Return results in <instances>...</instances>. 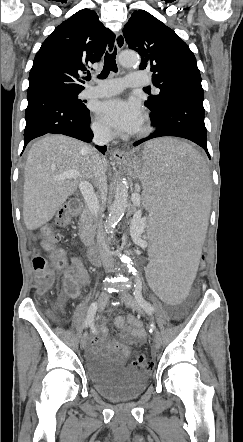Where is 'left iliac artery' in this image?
<instances>
[{"mask_svg":"<svg viewBox=\"0 0 243 442\" xmlns=\"http://www.w3.org/2000/svg\"><path fill=\"white\" fill-rule=\"evenodd\" d=\"M133 275H137V273L134 271ZM134 297L136 299V301L138 302V304L150 315L153 314L154 312V307L144 299V297L142 296V287H141V283L136 282L135 285V289H134ZM155 330V325H151V329L150 332H153Z\"/></svg>","mask_w":243,"mask_h":442,"instance_id":"left-iliac-artery-1","label":"left iliac artery"}]
</instances>
